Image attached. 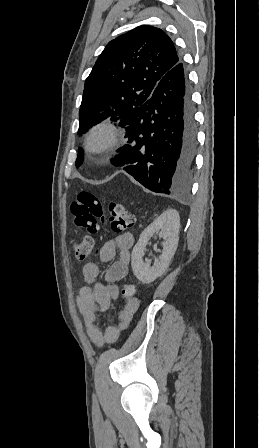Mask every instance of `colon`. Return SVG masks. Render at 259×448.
Masks as SVG:
<instances>
[{
    "label": "colon",
    "mask_w": 259,
    "mask_h": 448,
    "mask_svg": "<svg viewBox=\"0 0 259 448\" xmlns=\"http://www.w3.org/2000/svg\"><path fill=\"white\" fill-rule=\"evenodd\" d=\"M76 226L85 233L84 239L75 247L78 260L86 259L93 247V236L99 231V223L108 222L114 232H122L134 225L135 218L123 204L111 202L105 211L100 199L89 191H81L71 205ZM135 298V286L122 285L119 300L125 306Z\"/></svg>",
    "instance_id": "colon-1"
}]
</instances>
